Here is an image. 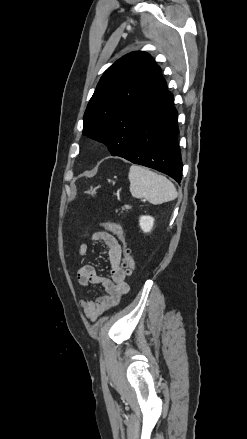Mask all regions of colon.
<instances>
[{"label": "colon", "mask_w": 247, "mask_h": 439, "mask_svg": "<svg viewBox=\"0 0 247 439\" xmlns=\"http://www.w3.org/2000/svg\"><path fill=\"white\" fill-rule=\"evenodd\" d=\"M101 226H103L105 229L113 232L114 234L117 235V237L122 241V243L124 244V248H123V267L126 271L127 275H131L134 272L135 269V260L132 254V250L131 248L128 246L127 244V240H126V234L123 230V228L113 222H104L101 223Z\"/></svg>", "instance_id": "obj_1"}]
</instances>
